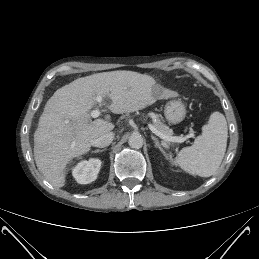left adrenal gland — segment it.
I'll use <instances>...</instances> for the list:
<instances>
[{
  "label": "left adrenal gland",
  "instance_id": "1",
  "mask_svg": "<svg viewBox=\"0 0 259 259\" xmlns=\"http://www.w3.org/2000/svg\"><path fill=\"white\" fill-rule=\"evenodd\" d=\"M151 138L155 142V147L158 148L160 150V152L166 157V153H165L164 149L162 148V146L160 145L158 139L156 137H154V136H151Z\"/></svg>",
  "mask_w": 259,
  "mask_h": 259
}]
</instances>
